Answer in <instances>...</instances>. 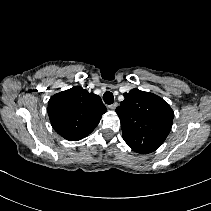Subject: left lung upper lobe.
Wrapping results in <instances>:
<instances>
[{"label":"left lung upper lobe","instance_id":"obj_1","mask_svg":"<svg viewBox=\"0 0 211 211\" xmlns=\"http://www.w3.org/2000/svg\"><path fill=\"white\" fill-rule=\"evenodd\" d=\"M123 95L125 99L116 113L124 141L137 153L154 152L171 130L173 110L161 97L149 92L133 89Z\"/></svg>","mask_w":211,"mask_h":211}]
</instances>
